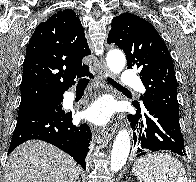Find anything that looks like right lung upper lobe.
I'll return each instance as SVG.
<instances>
[{
  "mask_svg": "<svg viewBox=\"0 0 196 182\" xmlns=\"http://www.w3.org/2000/svg\"><path fill=\"white\" fill-rule=\"evenodd\" d=\"M90 54L85 30L73 10L59 11L40 23L26 49L20 105L63 97L76 76L88 72L82 58Z\"/></svg>",
  "mask_w": 196,
  "mask_h": 182,
  "instance_id": "cb5924a9",
  "label": "right lung upper lobe"
}]
</instances>
